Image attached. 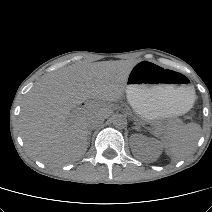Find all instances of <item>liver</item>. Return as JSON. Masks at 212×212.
I'll use <instances>...</instances> for the list:
<instances>
[{"instance_id":"liver-1","label":"liver","mask_w":212,"mask_h":212,"mask_svg":"<svg viewBox=\"0 0 212 212\" xmlns=\"http://www.w3.org/2000/svg\"><path fill=\"white\" fill-rule=\"evenodd\" d=\"M134 63L73 64L45 77L30 91L20 113V134L28 153L48 165L80 158L88 147L87 118H107L126 91ZM94 99L83 111L78 105Z\"/></svg>"}]
</instances>
